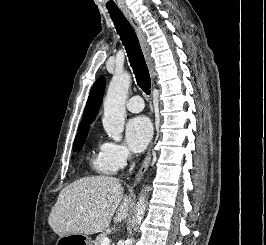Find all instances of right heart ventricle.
<instances>
[{
	"mask_svg": "<svg viewBox=\"0 0 266 245\" xmlns=\"http://www.w3.org/2000/svg\"><path fill=\"white\" fill-rule=\"evenodd\" d=\"M91 168L99 174L110 175L113 173V170L106 163L100 148L94 147L91 151Z\"/></svg>",
	"mask_w": 266,
	"mask_h": 245,
	"instance_id": "1",
	"label": "right heart ventricle"
}]
</instances>
